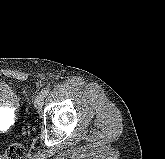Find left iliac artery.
Wrapping results in <instances>:
<instances>
[{"label":"left iliac artery","instance_id":"obj_1","mask_svg":"<svg viewBox=\"0 0 165 159\" xmlns=\"http://www.w3.org/2000/svg\"><path fill=\"white\" fill-rule=\"evenodd\" d=\"M49 92H50L49 87H46V88H44V89L41 91V93H42L45 97L49 94Z\"/></svg>","mask_w":165,"mask_h":159}]
</instances>
